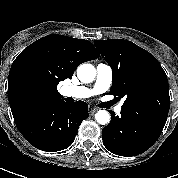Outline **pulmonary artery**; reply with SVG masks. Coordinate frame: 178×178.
I'll return each instance as SVG.
<instances>
[{
	"instance_id": "obj_1",
	"label": "pulmonary artery",
	"mask_w": 178,
	"mask_h": 178,
	"mask_svg": "<svg viewBox=\"0 0 178 178\" xmlns=\"http://www.w3.org/2000/svg\"><path fill=\"white\" fill-rule=\"evenodd\" d=\"M112 78V68L107 64L100 63L96 67V79L92 88L85 86H64L61 88V94L65 97H72L75 99H87L107 91L111 86ZM115 111L119 113L121 111V106H117Z\"/></svg>"
}]
</instances>
